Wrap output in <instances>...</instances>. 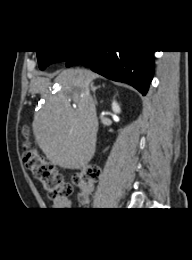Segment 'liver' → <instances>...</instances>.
Instances as JSON below:
<instances>
[{
  "label": "liver",
  "mask_w": 192,
  "mask_h": 260,
  "mask_svg": "<svg viewBox=\"0 0 192 260\" xmlns=\"http://www.w3.org/2000/svg\"><path fill=\"white\" fill-rule=\"evenodd\" d=\"M98 77L97 73L78 67L61 71L54 80L59 90L49 93L34 114L32 129L36 143L52 164L80 169L93 158L98 119L89 85ZM51 85L49 78L37 77L31 92L42 94Z\"/></svg>",
  "instance_id": "6515ba94"
}]
</instances>
